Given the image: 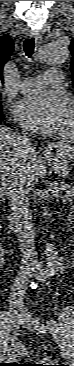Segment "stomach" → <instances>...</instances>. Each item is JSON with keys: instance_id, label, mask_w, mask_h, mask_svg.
<instances>
[{"instance_id": "1", "label": "stomach", "mask_w": 74, "mask_h": 366, "mask_svg": "<svg viewBox=\"0 0 74 366\" xmlns=\"http://www.w3.org/2000/svg\"><path fill=\"white\" fill-rule=\"evenodd\" d=\"M48 158L54 162L53 164L57 170H59V168H62V167L65 168V167L71 166L70 165L71 159L69 157V153L64 152L62 150H57V151L51 153L48 156Z\"/></svg>"}]
</instances>
